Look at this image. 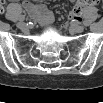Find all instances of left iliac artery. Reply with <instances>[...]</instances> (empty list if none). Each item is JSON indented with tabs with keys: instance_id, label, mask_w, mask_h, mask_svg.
Returning <instances> with one entry per match:
<instances>
[{
	"instance_id": "left-iliac-artery-1",
	"label": "left iliac artery",
	"mask_w": 103,
	"mask_h": 103,
	"mask_svg": "<svg viewBox=\"0 0 103 103\" xmlns=\"http://www.w3.org/2000/svg\"><path fill=\"white\" fill-rule=\"evenodd\" d=\"M83 25H84V26H89V25H90V21L84 20V21H83Z\"/></svg>"
}]
</instances>
